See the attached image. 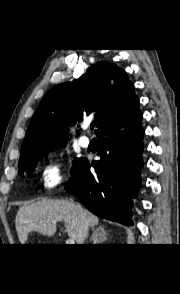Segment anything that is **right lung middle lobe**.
<instances>
[{"label":"right lung middle lobe","instance_id":"obj_1","mask_svg":"<svg viewBox=\"0 0 180 294\" xmlns=\"http://www.w3.org/2000/svg\"><path fill=\"white\" fill-rule=\"evenodd\" d=\"M63 146L64 145H60V146H56V147L42 149V150L36 152L30 158H28L22 162H19L20 175H22L24 171L27 172L28 174L31 173L34 170V168L36 167L38 159H40L43 155H45L53 150L59 149ZM84 160H85L84 158L75 159L74 165L71 169L72 175H74L78 171V169L80 168V165L82 164V162Z\"/></svg>","mask_w":180,"mask_h":294}]
</instances>
